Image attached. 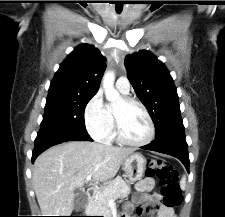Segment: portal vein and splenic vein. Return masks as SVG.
<instances>
[{
    "label": "portal vein and splenic vein",
    "mask_w": 225,
    "mask_h": 217,
    "mask_svg": "<svg viewBox=\"0 0 225 217\" xmlns=\"http://www.w3.org/2000/svg\"><path fill=\"white\" fill-rule=\"evenodd\" d=\"M91 177H92V175L90 174V175L87 176L86 179L89 181V180H91Z\"/></svg>",
    "instance_id": "1"
}]
</instances>
